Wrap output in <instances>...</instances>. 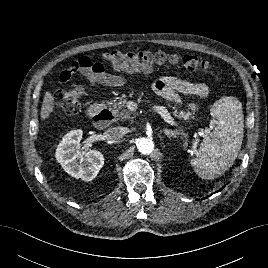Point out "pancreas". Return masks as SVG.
I'll use <instances>...</instances> for the list:
<instances>
[{"label": "pancreas", "mask_w": 268, "mask_h": 268, "mask_svg": "<svg viewBox=\"0 0 268 268\" xmlns=\"http://www.w3.org/2000/svg\"><path fill=\"white\" fill-rule=\"evenodd\" d=\"M127 100H112L108 102L109 109L111 110L115 119H129L131 118V112L126 109ZM173 115L178 119L184 121H189V119H195V116L189 111L179 110L177 107L173 106Z\"/></svg>", "instance_id": "1"}]
</instances>
